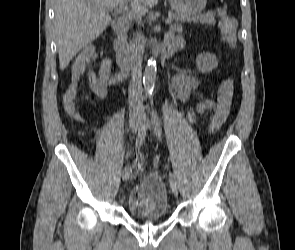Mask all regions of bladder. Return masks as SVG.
I'll return each instance as SVG.
<instances>
[{
	"label": "bladder",
	"instance_id": "1",
	"mask_svg": "<svg viewBox=\"0 0 295 250\" xmlns=\"http://www.w3.org/2000/svg\"><path fill=\"white\" fill-rule=\"evenodd\" d=\"M127 209L139 220H161L167 215L169 198L164 181L158 173H151L131 190Z\"/></svg>",
	"mask_w": 295,
	"mask_h": 250
}]
</instances>
